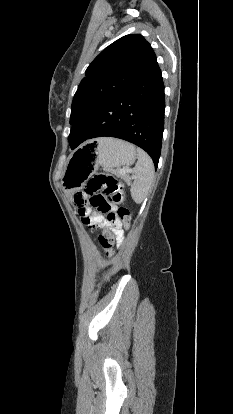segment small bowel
Wrapping results in <instances>:
<instances>
[{
    "instance_id": "1",
    "label": "small bowel",
    "mask_w": 233,
    "mask_h": 414,
    "mask_svg": "<svg viewBox=\"0 0 233 414\" xmlns=\"http://www.w3.org/2000/svg\"><path fill=\"white\" fill-rule=\"evenodd\" d=\"M79 215L82 217L83 221L86 224L90 225H103L110 229L114 233V235L122 241L123 239V223L117 217H114L112 220L104 219L102 213L99 210H93L89 206L84 207V211L82 212L81 209H78ZM112 212L114 210L112 209Z\"/></svg>"
}]
</instances>
